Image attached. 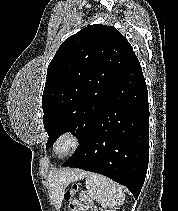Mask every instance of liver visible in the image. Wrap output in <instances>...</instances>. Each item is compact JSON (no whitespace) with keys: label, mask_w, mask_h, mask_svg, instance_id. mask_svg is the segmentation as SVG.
Here are the masks:
<instances>
[{"label":"liver","mask_w":178,"mask_h":211,"mask_svg":"<svg viewBox=\"0 0 178 211\" xmlns=\"http://www.w3.org/2000/svg\"><path fill=\"white\" fill-rule=\"evenodd\" d=\"M84 172L74 169L52 170L49 173V189L55 201V204L60 208L65 188L72 182L82 179Z\"/></svg>","instance_id":"liver-1"}]
</instances>
